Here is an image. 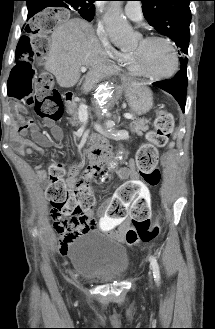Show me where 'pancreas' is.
<instances>
[{"label": "pancreas", "instance_id": "pancreas-1", "mask_svg": "<svg viewBox=\"0 0 215 329\" xmlns=\"http://www.w3.org/2000/svg\"><path fill=\"white\" fill-rule=\"evenodd\" d=\"M68 109L72 115V125L73 126H79L81 124L80 119H79V112L78 108L75 103H72L71 105L68 106ZM148 123H150L149 120L145 119H136L133 120L130 123V129L132 133H136L137 135H142L143 132L147 131L149 129Z\"/></svg>", "mask_w": 215, "mask_h": 329}]
</instances>
